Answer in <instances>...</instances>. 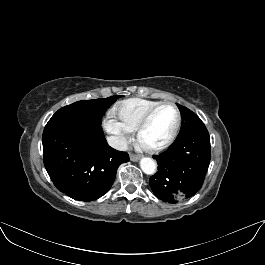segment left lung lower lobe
I'll return each mask as SVG.
<instances>
[{"label": "left lung lower lobe", "instance_id": "left-lung-lower-lobe-1", "mask_svg": "<svg viewBox=\"0 0 265 265\" xmlns=\"http://www.w3.org/2000/svg\"><path fill=\"white\" fill-rule=\"evenodd\" d=\"M153 157L158 171L149 184L156 197L169 203L192 197L202 187L211 159L205 125L177 136L169 149Z\"/></svg>", "mask_w": 265, "mask_h": 265}]
</instances>
